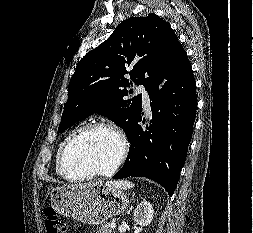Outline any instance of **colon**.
Returning a JSON list of instances; mask_svg holds the SVG:
<instances>
[{"label": "colon", "mask_w": 253, "mask_h": 233, "mask_svg": "<svg viewBox=\"0 0 253 233\" xmlns=\"http://www.w3.org/2000/svg\"><path fill=\"white\" fill-rule=\"evenodd\" d=\"M44 225L47 233H66V227L52 207L45 209Z\"/></svg>", "instance_id": "1"}]
</instances>
